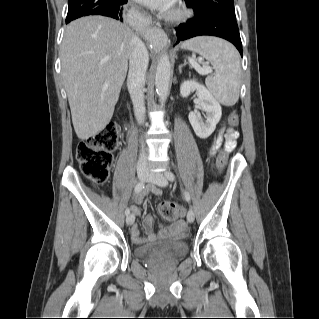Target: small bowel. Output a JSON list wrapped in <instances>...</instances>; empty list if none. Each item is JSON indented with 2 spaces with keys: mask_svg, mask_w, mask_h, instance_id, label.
Returning a JSON list of instances; mask_svg holds the SVG:
<instances>
[{
  "mask_svg": "<svg viewBox=\"0 0 319 319\" xmlns=\"http://www.w3.org/2000/svg\"><path fill=\"white\" fill-rule=\"evenodd\" d=\"M225 132V136H226V142H225V147L228 150H231L234 145H235V141L239 136V133L233 129H227L226 131L223 129L220 131V133L218 134V136L214 139L213 141V145H212V151H216L222 143V135ZM153 193H155L156 195H160V190L157 188H153L152 189ZM144 195L140 194L137 197V201L141 202L143 200ZM132 212L135 215H139L140 214V209L138 207H132ZM144 229L146 230V232L149 234V236L153 235V230H154V223L151 217H147L144 220L143 223ZM171 229L175 232L178 233H183L186 230V223L183 220H178L175 224L172 225ZM131 234H132V238L133 241L135 243H142L144 241V238H141L139 235V229L138 226L136 224L133 225L132 229H131Z\"/></svg>",
  "mask_w": 319,
  "mask_h": 319,
  "instance_id": "small-bowel-1",
  "label": "small bowel"
}]
</instances>
